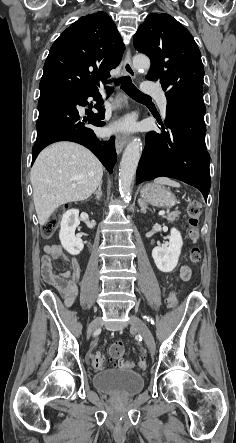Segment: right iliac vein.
Listing matches in <instances>:
<instances>
[{"label": "right iliac vein", "mask_w": 236, "mask_h": 443, "mask_svg": "<svg viewBox=\"0 0 236 443\" xmlns=\"http://www.w3.org/2000/svg\"><path fill=\"white\" fill-rule=\"evenodd\" d=\"M101 318L97 317L95 318L89 325L88 331L91 333L94 331V329L100 324Z\"/></svg>", "instance_id": "63e3f726"}]
</instances>
